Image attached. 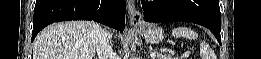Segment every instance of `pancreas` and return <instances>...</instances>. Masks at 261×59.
Listing matches in <instances>:
<instances>
[{
    "instance_id": "1",
    "label": "pancreas",
    "mask_w": 261,
    "mask_h": 59,
    "mask_svg": "<svg viewBox=\"0 0 261 59\" xmlns=\"http://www.w3.org/2000/svg\"><path fill=\"white\" fill-rule=\"evenodd\" d=\"M153 59H172L171 55L158 53Z\"/></svg>"
}]
</instances>
